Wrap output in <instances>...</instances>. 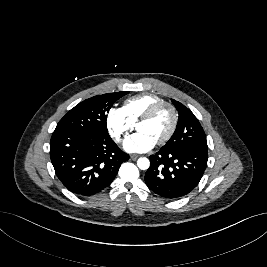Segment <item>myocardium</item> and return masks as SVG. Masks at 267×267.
<instances>
[{"label":"myocardium","mask_w":267,"mask_h":267,"mask_svg":"<svg viewBox=\"0 0 267 267\" xmlns=\"http://www.w3.org/2000/svg\"><path fill=\"white\" fill-rule=\"evenodd\" d=\"M164 108L169 109L171 116H172V122L167 133L159 141H157V144L159 145H162L168 142L174 135L177 129V126H178V121H179L178 113H177L175 106L172 103L167 102V101H160L154 104L142 115V117L138 120L137 125H136L138 127L139 124L151 120Z\"/></svg>","instance_id":"f54148a6"}]
</instances>
